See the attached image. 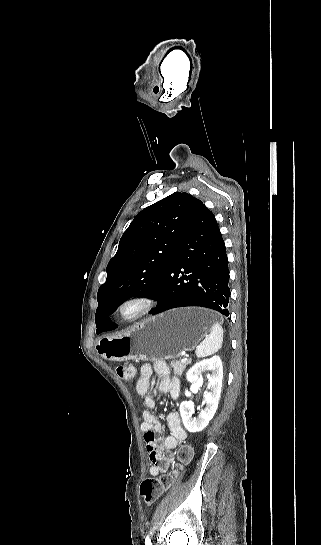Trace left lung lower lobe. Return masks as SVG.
Instances as JSON below:
<instances>
[{"mask_svg":"<svg viewBox=\"0 0 321 545\" xmlns=\"http://www.w3.org/2000/svg\"><path fill=\"white\" fill-rule=\"evenodd\" d=\"M228 282L225 243L214 214L201 202L181 235L159 290L152 297L158 304L151 313L200 306L229 316ZM115 328V323L108 322L104 331Z\"/></svg>","mask_w":321,"mask_h":545,"instance_id":"obj_1","label":"left lung lower lobe"}]
</instances>
